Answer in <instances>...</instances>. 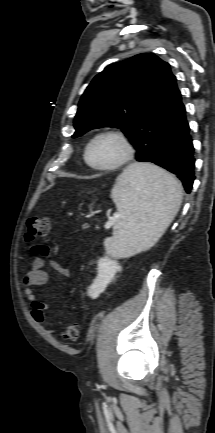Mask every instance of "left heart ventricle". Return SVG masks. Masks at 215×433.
<instances>
[{"label":"left heart ventricle","mask_w":215,"mask_h":433,"mask_svg":"<svg viewBox=\"0 0 215 433\" xmlns=\"http://www.w3.org/2000/svg\"><path fill=\"white\" fill-rule=\"evenodd\" d=\"M123 154L121 142L112 136L101 137L90 148L89 159L95 165H109L118 161Z\"/></svg>","instance_id":"obj_1"}]
</instances>
